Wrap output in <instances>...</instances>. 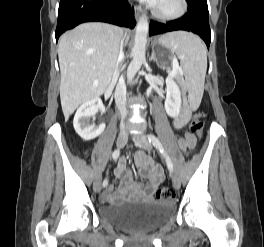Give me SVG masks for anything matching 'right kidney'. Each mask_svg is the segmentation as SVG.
<instances>
[{
	"instance_id": "right-kidney-1",
	"label": "right kidney",
	"mask_w": 264,
	"mask_h": 247,
	"mask_svg": "<svg viewBox=\"0 0 264 247\" xmlns=\"http://www.w3.org/2000/svg\"><path fill=\"white\" fill-rule=\"evenodd\" d=\"M104 105L99 98L83 103L76 111L73 125L76 133L83 140H92L98 137L105 129V124L96 126L90 124L89 119L94 117L99 110H103Z\"/></svg>"
}]
</instances>
